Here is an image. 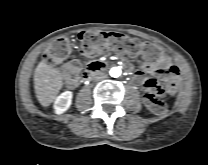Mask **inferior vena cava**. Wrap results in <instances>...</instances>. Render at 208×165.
I'll use <instances>...</instances> for the list:
<instances>
[{
  "label": "inferior vena cava",
  "instance_id": "602c4592",
  "mask_svg": "<svg viewBox=\"0 0 208 165\" xmlns=\"http://www.w3.org/2000/svg\"><path fill=\"white\" fill-rule=\"evenodd\" d=\"M105 77L106 75L103 72H95L91 75V79L94 81L103 80Z\"/></svg>",
  "mask_w": 208,
  "mask_h": 165
}]
</instances>
